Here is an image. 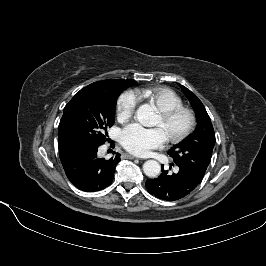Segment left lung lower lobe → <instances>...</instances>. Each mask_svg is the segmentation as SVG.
<instances>
[{"mask_svg": "<svg viewBox=\"0 0 266 266\" xmlns=\"http://www.w3.org/2000/svg\"><path fill=\"white\" fill-rule=\"evenodd\" d=\"M200 182L187 169L179 166L176 174L169 175L168 171L163 170L158 178L147 180L146 188L159 199L174 201L189 195Z\"/></svg>", "mask_w": 266, "mask_h": 266, "instance_id": "left-lung-lower-lobe-1", "label": "left lung lower lobe"}]
</instances>
